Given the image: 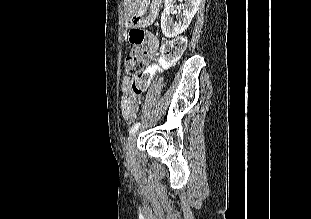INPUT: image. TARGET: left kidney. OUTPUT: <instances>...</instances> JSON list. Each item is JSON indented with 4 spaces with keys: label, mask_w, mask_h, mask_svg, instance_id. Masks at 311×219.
Wrapping results in <instances>:
<instances>
[{
    "label": "left kidney",
    "mask_w": 311,
    "mask_h": 219,
    "mask_svg": "<svg viewBox=\"0 0 311 219\" xmlns=\"http://www.w3.org/2000/svg\"><path fill=\"white\" fill-rule=\"evenodd\" d=\"M202 0H185L183 14L179 16L178 22H173L170 15L174 10L176 0H165V8L161 16V29L165 37L173 38L183 33L190 25Z\"/></svg>",
    "instance_id": "left-kidney-1"
}]
</instances>
